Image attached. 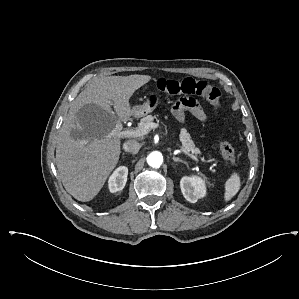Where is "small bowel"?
Returning a JSON list of instances; mask_svg holds the SVG:
<instances>
[{
    "mask_svg": "<svg viewBox=\"0 0 299 299\" xmlns=\"http://www.w3.org/2000/svg\"><path fill=\"white\" fill-rule=\"evenodd\" d=\"M189 111L197 120L205 121L206 114L193 98H182L172 107L173 116L180 122L185 120V113Z\"/></svg>",
    "mask_w": 299,
    "mask_h": 299,
    "instance_id": "small-bowel-1",
    "label": "small bowel"
}]
</instances>
